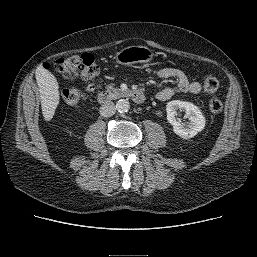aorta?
I'll return each instance as SVG.
<instances>
[{"mask_svg":"<svg viewBox=\"0 0 257 257\" xmlns=\"http://www.w3.org/2000/svg\"><path fill=\"white\" fill-rule=\"evenodd\" d=\"M130 108V103L126 99H120L116 102V110L120 113L127 112Z\"/></svg>","mask_w":257,"mask_h":257,"instance_id":"obj_1","label":"aorta"}]
</instances>
